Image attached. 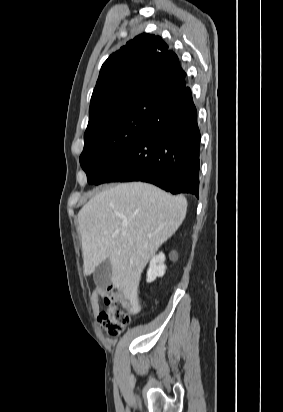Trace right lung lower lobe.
<instances>
[{
  "mask_svg": "<svg viewBox=\"0 0 283 412\" xmlns=\"http://www.w3.org/2000/svg\"><path fill=\"white\" fill-rule=\"evenodd\" d=\"M200 131L191 90L176 92L123 156L93 184L143 181L199 196Z\"/></svg>",
  "mask_w": 283,
  "mask_h": 412,
  "instance_id": "obj_1",
  "label": "right lung lower lobe"
}]
</instances>
